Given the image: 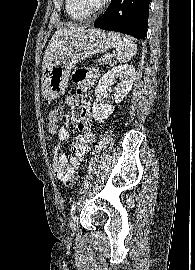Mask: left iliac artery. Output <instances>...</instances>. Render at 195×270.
<instances>
[{
  "mask_svg": "<svg viewBox=\"0 0 195 270\" xmlns=\"http://www.w3.org/2000/svg\"><path fill=\"white\" fill-rule=\"evenodd\" d=\"M76 207H77V203L74 202L73 205H72V208H71V219L74 217Z\"/></svg>",
  "mask_w": 195,
  "mask_h": 270,
  "instance_id": "44dca946",
  "label": "left iliac artery"
}]
</instances>
